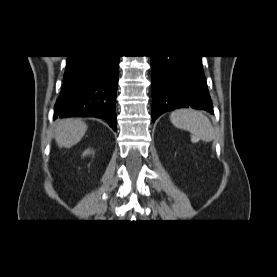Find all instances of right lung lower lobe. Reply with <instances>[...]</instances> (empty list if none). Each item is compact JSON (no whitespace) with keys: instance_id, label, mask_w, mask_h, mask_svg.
Returning a JSON list of instances; mask_svg holds the SVG:
<instances>
[{"instance_id":"right-lung-lower-lobe-1","label":"right lung lower lobe","mask_w":277,"mask_h":277,"mask_svg":"<svg viewBox=\"0 0 277 277\" xmlns=\"http://www.w3.org/2000/svg\"><path fill=\"white\" fill-rule=\"evenodd\" d=\"M118 78L119 56H68L54 119L97 117L106 120L116 130Z\"/></svg>"}]
</instances>
